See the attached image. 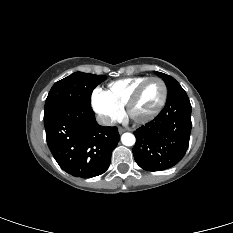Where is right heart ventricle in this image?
<instances>
[{
    "label": "right heart ventricle",
    "instance_id": "e07e8e85",
    "mask_svg": "<svg viewBox=\"0 0 233 233\" xmlns=\"http://www.w3.org/2000/svg\"><path fill=\"white\" fill-rule=\"evenodd\" d=\"M147 78L142 76L113 81L104 92L111 102L123 108L135 88Z\"/></svg>",
    "mask_w": 233,
    "mask_h": 233
}]
</instances>
